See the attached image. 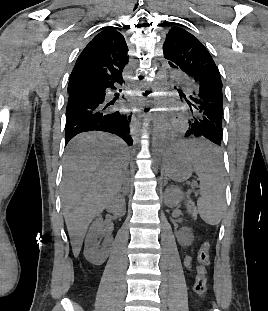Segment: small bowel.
<instances>
[{"label":"small bowel","mask_w":268,"mask_h":311,"mask_svg":"<svg viewBox=\"0 0 268 311\" xmlns=\"http://www.w3.org/2000/svg\"><path fill=\"white\" fill-rule=\"evenodd\" d=\"M184 263H185V266H186L188 269H191V265H192V259H191V257L185 256V258H184Z\"/></svg>","instance_id":"c3829d8e"}]
</instances>
